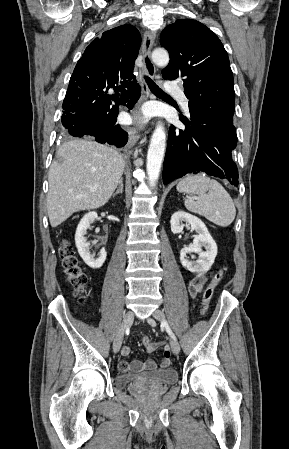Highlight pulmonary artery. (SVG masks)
Segmentation results:
<instances>
[{"label": "pulmonary artery", "mask_w": 289, "mask_h": 449, "mask_svg": "<svg viewBox=\"0 0 289 449\" xmlns=\"http://www.w3.org/2000/svg\"><path fill=\"white\" fill-rule=\"evenodd\" d=\"M173 92L176 95V97L178 98V100H179L180 104L182 105V107L186 111H188L189 110V108H188V99L185 96V94L183 93V91L178 90V89H174Z\"/></svg>", "instance_id": "1"}]
</instances>
